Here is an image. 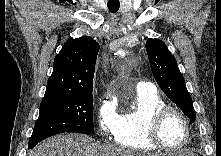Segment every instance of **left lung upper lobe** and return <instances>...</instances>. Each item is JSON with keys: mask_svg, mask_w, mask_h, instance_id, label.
Instances as JSON below:
<instances>
[{"mask_svg": "<svg viewBox=\"0 0 221 156\" xmlns=\"http://www.w3.org/2000/svg\"><path fill=\"white\" fill-rule=\"evenodd\" d=\"M146 50L152 73L164 93L190 118L196 120V112L184 78L178 68L175 57L166 44L159 39H149Z\"/></svg>", "mask_w": 221, "mask_h": 156, "instance_id": "5c2ea615", "label": "left lung upper lobe"}]
</instances>
